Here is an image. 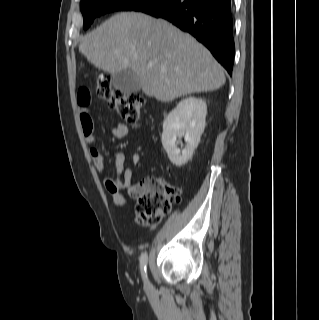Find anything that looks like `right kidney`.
<instances>
[{
    "label": "right kidney",
    "mask_w": 319,
    "mask_h": 320,
    "mask_svg": "<svg viewBox=\"0 0 319 320\" xmlns=\"http://www.w3.org/2000/svg\"><path fill=\"white\" fill-rule=\"evenodd\" d=\"M206 102L188 97L181 100L163 122L162 145L170 161L182 166L192 158L205 128ZM184 136L186 146L177 147V137Z\"/></svg>",
    "instance_id": "1"
}]
</instances>
